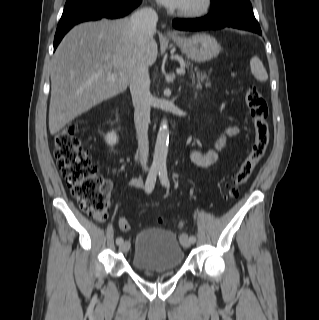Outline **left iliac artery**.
<instances>
[{
    "instance_id": "44dca946",
    "label": "left iliac artery",
    "mask_w": 319,
    "mask_h": 320,
    "mask_svg": "<svg viewBox=\"0 0 319 320\" xmlns=\"http://www.w3.org/2000/svg\"><path fill=\"white\" fill-rule=\"evenodd\" d=\"M158 172H159V178H160L161 183H162L164 186L169 187V181H168L167 168H166V166H160ZM182 235H184V234H182ZM182 235H181V236H182ZM189 241H190L191 243H194V242L196 241L195 236H190V237H189Z\"/></svg>"
}]
</instances>
